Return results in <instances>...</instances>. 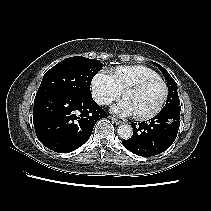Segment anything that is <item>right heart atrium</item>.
<instances>
[{"label":"right heart atrium","instance_id":"1","mask_svg":"<svg viewBox=\"0 0 211 211\" xmlns=\"http://www.w3.org/2000/svg\"><path fill=\"white\" fill-rule=\"evenodd\" d=\"M91 92L98 104L109 105L121 96L122 89L113 74L100 70L91 80Z\"/></svg>","mask_w":211,"mask_h":211}]
</instances>
